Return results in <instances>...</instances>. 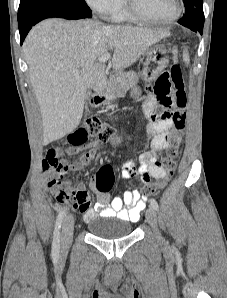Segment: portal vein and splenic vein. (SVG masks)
<instances>
[{
	"label": "portal vein and splenic vein",
	"mask_w": 227,
	"mask_h": 298,
	"mask_svg": "<svg viewBox=\"0 0 227 298\" xmlns=\"http://www.w3.org/2000/svg\"><path fill=\"white\" fill-rule=\"evenodd\" d=\"M110 58H111V54L106 53L105 55H103L99 58V62L100 63H106ZM72 73H73L74 76H78L79 75V70H73Z\"/></svg>",
	"instance_id": "obj_1"
}]
</instances>
